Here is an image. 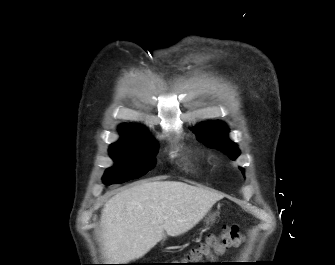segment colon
<instances>
[{
    "label": "colon",
    "mask_w": 335,
    "mask_h": 265,
    "mask_svg": "<svg viewBox=\"0 0 335 265\" xmlns=\"http://www.w3.org/2000/svg\"><path fill=\"white\" fill-rule=\"evenodd\" d=\"M243 241V235L235 226L227 227L221 234L210 236L207 241L199 247L192 249L185 257L190 265H197L202 260H211L221 255L230 247H236Z\"/></svg>",
    "instance_id": "obj_1"
}]
</instances>
